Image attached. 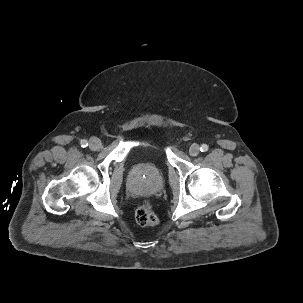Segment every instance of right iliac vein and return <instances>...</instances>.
Segmentation results:
<instances>
[{
	"mask_svg": "<svg viewBox=\"0 0 303 303\" xmlns=\"http://www.w3.org/2000/svg\"><path fill=\"white\" fill-rule=\"evenodd\" d=\"M100 147H101V141H100V139H98L96 137H93V138L90 139V141H89V148L91 150L96 151V150H99Z\"/></svg>",
	"mask_w": 303,
	"mask_h": 303,
	"instance_id": "right-iliac-vein-1",
	"label": "right iliac vein"
}]
</instances>
